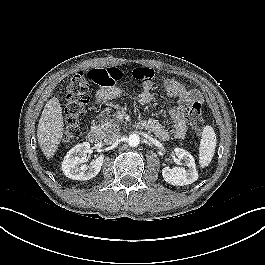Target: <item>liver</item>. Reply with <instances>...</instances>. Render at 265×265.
Instances as JSON below:
<instances>
[{"label": "liver", "mask_w": 265, "mask_h": 265, "mask_svg": "<svg viewBox=\"0 0 265 265\" xmlns=\"http://www.w3.org/2000/svg\"><path fill=\"white\" fill-rule=\"evenodd\" d=\"M63 130L61 104L57 97H52L42 111L37 129L38 144L48 160L56 153Z\"/></svg>", "instance_id": "liver-1"}]
</instances>
